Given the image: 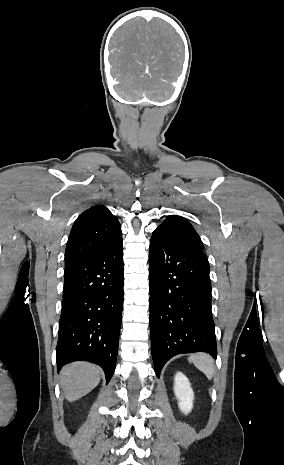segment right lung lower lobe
<instances>
[{
    "label": "right lung lower lobe",
    "mask_w": 284,
    "mask_h": 465,
    "mask_svg": "<svg viewBox=\"0 0 284 465\" xmlns=\"http://www.w3.org/2000/svg\"><path fill=\"white\" fill-rule=\"evenodd\" d=\"M58 370L83 360L100 365L109 382L116 366L123 310L122 238L101 254L65 269Z\"/></svg>",
    "instance_id": "1"
}]
</instances>
